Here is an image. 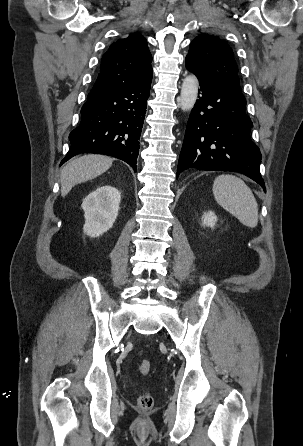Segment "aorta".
<instances>
[{"label": "aorta", "mask_w": 303, "mask_h": 446, "mask_svg": "<svg viewBox=\"0 0 303 446\" xmlns=\"http://www.w3.org/2000/svg\"><path fill=\"white\" fill-rule=\"evenodd\" d=\"M198 79L194 75H188L182 83L179 104L182 111H190L198 96Z\"/></svg>", "instance_id": "762f6f07"}]
</instances>
